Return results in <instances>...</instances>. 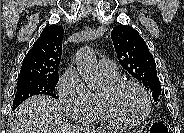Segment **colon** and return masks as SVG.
Returning <instances> with one entry per match:
<instances>
[{"label": "colon", "mask_w": 184, "mask_h": 133, "mask_svg": "<svg viewBox=\"0 0 184 133\" xmlns=\"http://www.w3.org/2000/svg\"><path fill=\"white\" fill-rule=\"evenodd\" d=\"M150 133H168V128L164 123L157 122L151 126Z\"/></svg>", "instance_id": "colon-1"}]
</instances>
